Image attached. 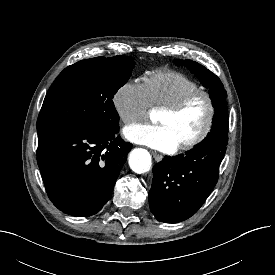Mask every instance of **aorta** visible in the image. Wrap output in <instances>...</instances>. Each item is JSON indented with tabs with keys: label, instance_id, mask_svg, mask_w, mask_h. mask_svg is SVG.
<instances>
[{
	"label": "aorta",
	"instance_id": "1",
	"mask_svg": "<svg viewBox=\"0 0 275 275\" xmlns=\"http://www.w3.org/2000/svg\"><path fill=\"white\" fill-rule=\"evenodd\" d=\"M129 165L138 174L148 172L152 166L151 156L144 149H134L129 155Z\"/></svg>",
	"mask_w": 275,
	"mask_h": 275
}]
</instances>
